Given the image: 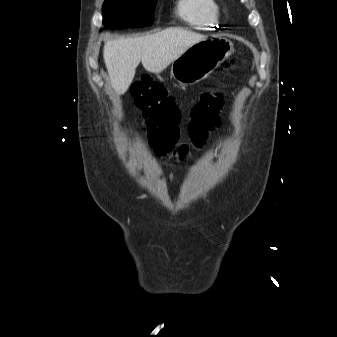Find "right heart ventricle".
Returning <instances> with one entry per match:
<instances>
[{"label":"right heart ventricle","mask_w":337,"mask_h":337,"mask_svg":"<svg viewBox=\"0 0 337 337\" xmlns=\"http://www.w3.org/2000/svg\"><path fill=\"white\" fill-rule=\"evenodd\" d=\"M176 11L189 25L202 30L218 27L222 15L217 0H178Z\"/></svg>","instance_id":"obj_1"}]
</instances>
